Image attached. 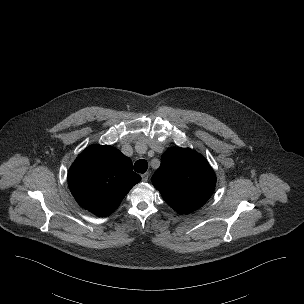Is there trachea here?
<instances>
[{"label": "trachea", "mask_w": 304, "mask_h": 304, "mask_svg": "<svg viewBox=\"0 0 304 304\" xmlns=\"http://www.w3.org/2000/svg\"><path fill=\"white\" fill-rule=\"evenodd\" d=\"M148 164L146 160H137L134 164V170L138 173H145L147 171Z\"/></svg>", "instance_id": "3493384b"}]
</instances>
